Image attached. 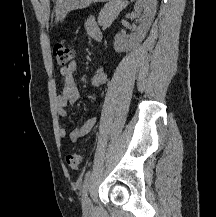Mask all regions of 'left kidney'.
Here are the masks:
<instances>
[{"label": "left kidney", "mask_w": 216, "mask_h": 217, "mask_svg": "<svg viewBox=\"0 0 216 217\" xmlns=\"http://www.w3.org/2000/svg\"><path fill=\"white\" fill-rule=\"evenodd\" d=\"M157 0H138L134 6L135 16L139 19L140 26L133 36L124 38L120 33L114 37L116 52H127L136 47L147 35L150 25L156 14ZM143 12V14H142Z\"/></svg>", "instance_id": "5707ae66"}]
</instances>
